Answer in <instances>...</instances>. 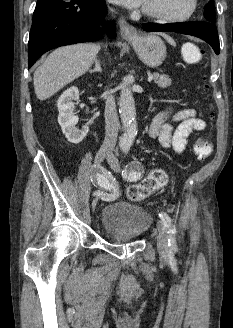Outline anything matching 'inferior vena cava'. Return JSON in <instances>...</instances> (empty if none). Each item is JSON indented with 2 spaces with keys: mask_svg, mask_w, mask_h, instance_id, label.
Masks as SVG:
<instances>
[{
  "mask_svg": "<svg viewBox=\"0 0 233 328\" xmlns=\"http://www.w3.org/2000/svg\"><path fill=\"white\" fill-rule=\"evenodd\" d=\"M105 139L102 144V150L111 153L116 145L119 131V120L116 110L115 99L108 93L105 104Z\"/></svg>",
  "mask_w": 233,
  "mask_h": 328,
  "instance_id": "inferior-vena-cava-1",
  "label": "inferior vena cava"
}]
</instances>
